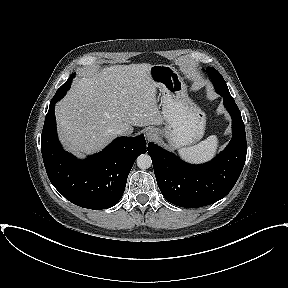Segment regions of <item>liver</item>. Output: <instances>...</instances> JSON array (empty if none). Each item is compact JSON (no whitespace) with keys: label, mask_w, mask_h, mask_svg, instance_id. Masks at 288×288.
<instances>
[{"label":"liver","mask_w":288,"mask_h":288,"mask_svg":"<svg viewBox=\"0 0 288 288\" xmlns=\"http://www.w3.org/2000/svg\"><path fill=\"white\" fill-rule=\"evenodd\" d=\"M152 65H114L76 80L57 103L55 113L62 144L77 157L98 152L123 128L160 125Z\"/></svg>","instance_id":"obj_1"}]
</instances>
